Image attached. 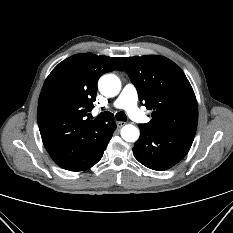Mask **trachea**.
<instances>
[{
	"mask_svg": "<svg viewBox=\"0 0 233 233\" xmlns=\"http://www.w3.org/2000/svg\"><path fill=\"white\" fill-rule=\"evenodd\" d=\"M96 119L99 122H109V121L114 120V115L111 112H103V113L99 114ZM116 120H118V121H126L127 120V116L122 111L118 112L116 114Z\"/></svg>",
	"mask_w": 233,
	"mask_h": 233,
	"instance_id": "1",
	"label": "trachea"
}]
</instances>
